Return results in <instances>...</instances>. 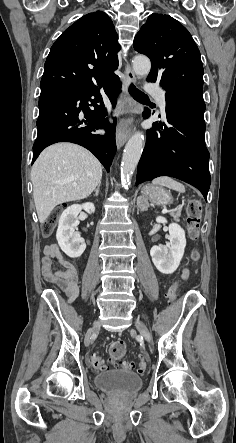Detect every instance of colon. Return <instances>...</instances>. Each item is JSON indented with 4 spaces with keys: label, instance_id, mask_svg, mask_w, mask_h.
Returning a JSON list of instances; mask_svg holds the SVG:
<instances>
[{
    "label": "colon",
    "instance_id": "colon-1",
    "mask_svg": "<svg viewBox=\"0 0 236 443\" xmlns=\"http://www.w3.org/2000/svg\"><path fill=\"white\" fill-rule=\"evenodd\" d=\"M202 212V205L198 200H191L187 206V225L189 237L192 240H197L200 235V218ZM57 223V215L52 214L48 220L43 224L42 231L45 236H49L55 229ZM191 261L198 263L200 260V252L197 249L192 250L190 254ZM177 285H172L169 290L170 298L175 297ZM127 351V344L124 340H115L109 346V356L111 365L114 367H121L124 369H131L134 365L132 361L124 360V356ZM91 364L95 369L103 370L107 368L104 359L99 354H94L91 358ZM147 364L145 361H141L139 364V370L145 371Z\"/></svg>",
    "mask_w": 236,
    "mask_h": 443
}]
</instances>
